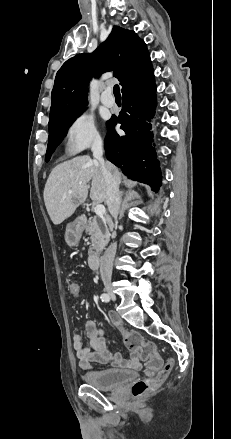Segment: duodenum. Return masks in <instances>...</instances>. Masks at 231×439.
Returning a JSON list of instances; mask_svg holds the SVG:
<instances>
[{
	"label": "duodenum",
	"mask_w": 231,
	"mask_h": 439,
	"mask_svg": "<svg viewBox=\"0 0 231 439\" xmlns=\"http://www.w3.org/2000/svg\"><path fill=\"white\" fill-rule=\"evenodd\" d=\"M81 222L85 223L86 219L81 218ZM89 267L93 270H97L100 266L99 255L96 252H91L88 256Z\"/></svg>",
	"instance_id": "duodenum-1"
}]
</instances>
